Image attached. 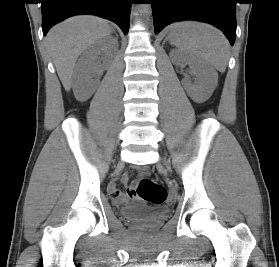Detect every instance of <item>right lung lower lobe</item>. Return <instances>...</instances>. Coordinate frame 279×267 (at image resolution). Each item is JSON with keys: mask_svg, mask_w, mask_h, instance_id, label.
Returning a JSON list of instances; mask_svg holds the SVG:
<instances>
[{"mask_svg": "<svg viewBox=\"0 0 279 267\" xmlns=\"http://www.w3.org/2000/svg\"><path fill=\"white\" fill-rule=\"evenodd\" d=\"M132 0H42V28L49 29L67 17L97 15L115 22L127 34Z\"/></svg>", "mask_w": 279, "mask_h": 267, "instance_id": "98d812e1", "label": "right lung lower lobe"}]
</instances>
